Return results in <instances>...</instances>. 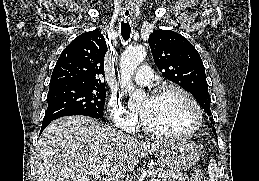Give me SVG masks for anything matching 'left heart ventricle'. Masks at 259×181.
<instances>
[{
  "label": "left heart ventricle",
  "instance_id": "1",
  "mask_svg": "<svg viewBox=\"0 0 259 181\" xmlns=\"http://www.w3.org/2000/svg\"><path fill=\"white\" fill-rule=\"evenodd\" d=\"M139 112L153 129L165 132L185 131L195 122V111L181 93L171 90L156 98H147Z\"/></svg>",
  "mask_w": 259,
  "mask_h": 181
}]
</instances>
